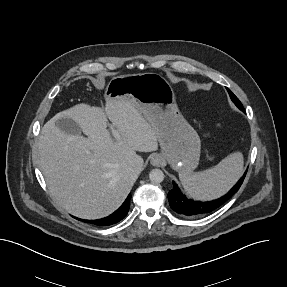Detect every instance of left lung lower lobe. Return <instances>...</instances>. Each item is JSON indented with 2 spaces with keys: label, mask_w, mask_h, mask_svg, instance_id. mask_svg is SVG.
<instances>
[{
  "label": "left lung lower lobe",
  "mask_w": 287,
  "mask_h": 287,
  "mask_svg": "<svg viewBox=\"0 0 287 287\" xmlns=\"http://www.w3.org/2000/svg\"><path fill=\"white\" fill-rule=\"evenodd\" d=\"M243 112L245 111L243 110ZM246 172L227 194L216 200L207 202L195 201L187 198L173 181V187L168 193L169 205L174 212L183 217L194 218L211 213L228 201L239 190Z\"/></svg>",
  "instance_id": "obj_1"
}]
</instances>
